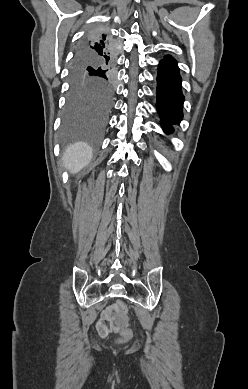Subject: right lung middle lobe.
I'll use <instances>...</instances> for the list:
<instances>
[{
  "instance_id": "1",
  "label": "right lung middle lobe",
  "mask_w": 248,
  "mask_h": 389,
  "mask_svg": "<svg viewBox=\"0 0 248 389\" xmlns=\"http://www.w3.org/2000/svg\"><path fill=\"white\" fill-rule=\"evenodd\" d=\"M111 63L85 55L79 47L71 65V88L64 115L62 141L97 146L114 95Z\"/></svg>"
}]
</instances>
